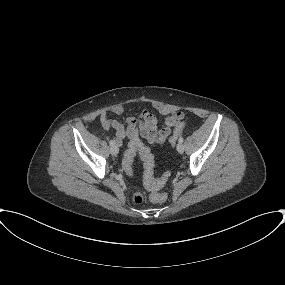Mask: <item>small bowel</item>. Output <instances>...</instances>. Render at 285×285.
<instances>
[{
	"label": "small bowel",
	"mask_w": 285,
	"mask_h": 285,
	"mask_svg": "<svg viewBox=\"0 0 285 285\" xmlns=\"http://www.w3.org/2000/svg\"><path fill=\"white\" fill-rule=\"evenodd\" d=\"M124 109L123 105L117 104L112 107L111 112L120 115L124 112ZM99 119L103 129H114V141L118 145H121L125 139L140 143L141 138L152 144H161L173 131L182 130L181 120L183 119V113L175 112L168 115L161 127L158 126V117L149 111H144L140 120L128 118L125 122H117L111 120L106 113H102ZM146 186L153 190L151 185L146 184Z\"/></svg>",
	"instance_id": "1"
}]
</instances>
